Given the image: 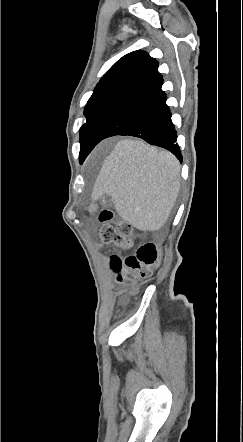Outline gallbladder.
<instances>
[{
  "label": "gallbladder",
  "mask_w": 243,
  "mask_h": 442,
  "mask_svg": "<svg viewBox=\"0 0 243 442\" xmlns=\"http://www.w3.org/2000/svg\"><path fill=\"white\" fill-rule=\"evenodd\" d=\"M112 197L108 194H105L102 198H101V204L106 207V208H110L112 206Z\"/></svg>",
  "instance_id": "1"
}]
</instances>
